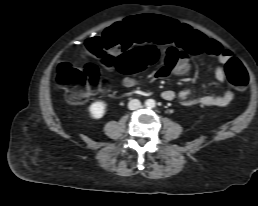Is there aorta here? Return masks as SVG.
I'll return each mask as SVG.
<instances>
[{
    "label": "aorta",
    "instance_id": "762f6f07",
    "mask_svg": "<svg viewBox=\"0 0 258 206\" xmlns=\"http://www.w3.org/2000/svg\"><path fill=\"white\" fill-rule=\"evenodd\" d=\"M146 105L148 106V107H154L155 106V101L154 100H149L147 103H146Z\"/></svg>",
    "mask_w": 258,
    "mask_h": 206
}]
</instances>
